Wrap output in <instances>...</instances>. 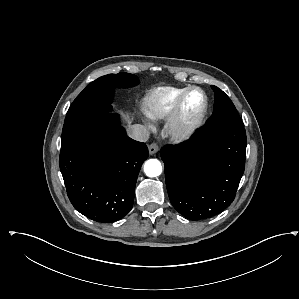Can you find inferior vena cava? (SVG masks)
I'll return each instance as SVG.
<instances>
[{
	"label": "inferior vena cava",
	"instance_id": "1",
	"mask_svg": "<svg viewBox=\"0 0 299 299\" xmlns=\"http://www.w3.org/2000/svg\"><path fill=\"white\" fill-rule=\"evenodd\" d=\"M128 135L136 141L146 142L149 139V131L147 127L141 124L130 126Z\"/></svg>",
	"mask_w": 299,
	"mask_h": 299
}]
</instances>
